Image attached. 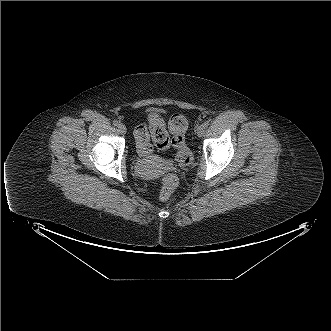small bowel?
Wrapping results in <instances>:
<instances>
[{
	"label": "small bowel",
	"instance_id": "1",
	"mask_svg": "<svg viewBox=\"0 0 331 331\" xmlns=\"http://www.w3.org/2000/svg\"><path fill=\"white\" fill-rule=\"evenodd\" d=\"M162 122H163V120H162ZM144 129H145L147 138L149 139L148 132H147V130H146L145 127H144ZM150 131L152 133L151 127H150ZM135 136H136L137 148H138L139 153L142 154V155H148V154H150L151 153V149H152L151 146L149 145V147L147 149L143 150L140 147L141 146V139H140L139 135L137 134V132H135Z\"/></svg>",
	"mask_w": 331,
	"mask_h": 331
}]
</instances>
